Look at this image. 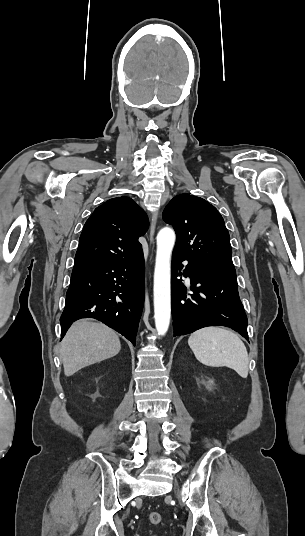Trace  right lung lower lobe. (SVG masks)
Instances as JSON below:
<instances>
[{
	"instance_id": "98d812e1",
	"label": "right lung lower lobe",
	"mask_w": 305,
	"mask_h": 536,
	"mask_svg": "<svg viewBox=\"0 0 305 536\" xmlns=\"http://www.w3.org/2000/svg\"><path fill=\"white\" fill-rule=\"evenodd\" d=\"M144 289L143 252L131 258L73 271L60 318L61 338L74 321L92 317L135 345Z\"/></svg>"
}]
</instances>
